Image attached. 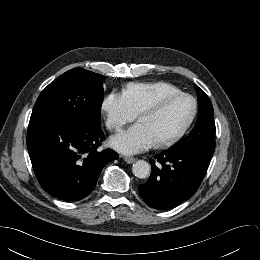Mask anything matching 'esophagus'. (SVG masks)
Returning a JSON list of instances; mask_svg holds the SVG:
<instances>
[{
	"label": "esophagus",
	"mask_w": 260,
	"mask_h": 260,
	"mask_svg": "<svg viewBox=\"0 0 260 260\" xmlns=\"http://www.w3.org/2000/svg\"><path fill=\"white\" fill-rule=\"evenodd\" d=\"M125 162H127L128 164H131L135 161L134 157H124Z\"/></svg>",
	"instance_id": "34e87169"
}]
</instances>
